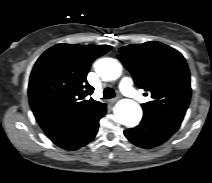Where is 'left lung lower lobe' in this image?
<instances>
[{"mask_svg": "<svg viewBox=\"0 0 212 183\" xmlns=\"http://www.w3.org/2000/svg\"><path fill=\"white\" fill-rule=\"evenodd\" d=\"M179 124L144 115L141 123L124 131L127 139L141 148H152L169 139L179 128Z\"/></svg>", "mask_w": 212, "mask_h": 183, "instance_id": "left-lung-lower-lobe-1", "label": "left lung lower lobe"}]
</instances>
